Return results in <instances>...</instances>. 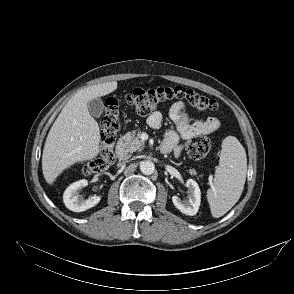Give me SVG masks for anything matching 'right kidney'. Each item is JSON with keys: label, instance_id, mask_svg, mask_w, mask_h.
Returning <instances> with one entry per match:
<instances>
[{"label": "right kidney", "instance_id": "1", "mask_svg": "<svg viewBox=\"0 0 294 294\" xmlns=\"http://www.w3.org/2000/svg\"><path fill=\"white\" fill-rule=\"evenodd\" d=\"M88 185V181L85 179L76 181L69 185L63 194V201L65 206L73 211V212H82L86 211L101 200V196H92L88 199L84 200L78 193L80 189L86 187Z\"/></svg>", "mask_w": 294, "mask_h": 294}]
</instances>
